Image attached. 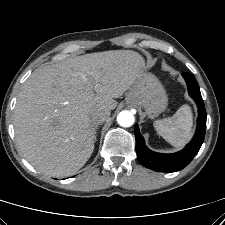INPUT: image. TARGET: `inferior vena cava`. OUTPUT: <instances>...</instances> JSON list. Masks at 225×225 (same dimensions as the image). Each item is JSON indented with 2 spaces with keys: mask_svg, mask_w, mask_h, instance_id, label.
Listing matches in <instances>:
<instances>
[{
  "mask_svg": "<svg viewBox=\"0 0 225 225\" xmlns=\"http://www.w3.org/2000/svg\"><path fill=\"white\" fill-rule=\"evenodd\" d=\"M110 110L107 108L99 107L92 111L91 121L93 124H100L110 117Z\"/></svg>",
  "mask_w": 225,
  "mask_h": 225,
  "instance_id": "602c4592",
  "label": "inferior vena cava"
}]
</instances>
